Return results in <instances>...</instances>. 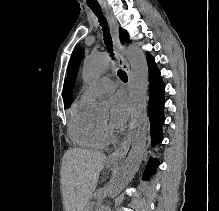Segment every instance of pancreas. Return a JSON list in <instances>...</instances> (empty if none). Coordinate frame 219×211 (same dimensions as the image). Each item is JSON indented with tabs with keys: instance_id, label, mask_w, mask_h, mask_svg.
<instances>
[{
	"instance_id": "1",
	"label": "pancreas",
	"mask_w": 219,
	"mask_h": 211,
	"mask_svg": "<svg viewBox=\"0 0 219 211\" xmlns=\"http://www.w3.org/2000/svg\"><path fill=\"white\" fill-rule=\"evenodd\" d=\"M99 204L98 200H88L87 201V208L88 211H95L96 206Z\"/></svg>"
}]
</instances>
